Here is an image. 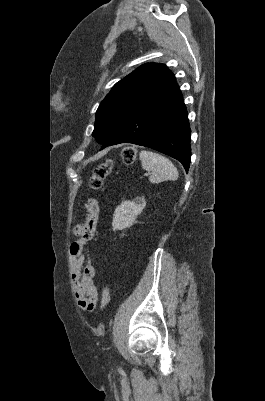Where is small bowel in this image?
Returning <instances> with one entry per match:
<instances>
[{
    "label": "small bowel",
    "mask_w": 265,
    "mask_h": 401,
    "mask_svg": "<svg viewBox=\"0 0 265 401\" xmlns=\"http://www.w3.org/2000/svg\"><path fill=\"white\" fill-rule=\"evenodd\" d=\"M86 218L83 223L73 228V233L78 237L70 245L71 274L73 288L77 303L84 311L91 312L96 308L98 301V290L94 283L96 274L94 266L88 262L83 266L85 256L84 246L93 238L98 224L99 205L95 198L85 201Z\"/></svg>",
    "instance_id": "small-bowel-1"
}]
</instances>
